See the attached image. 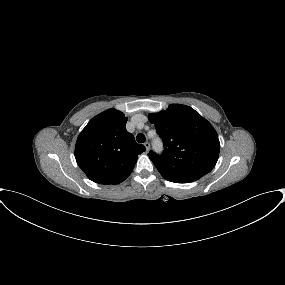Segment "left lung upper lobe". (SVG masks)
<instances>
[{
  "mask_svg": "<svg viewBox=\"0 0 285 285\" xmlns=\"http://www.w3.org/2000/svg\"><path fill=\"white\" fill-rule=\"evenodd\" d=\"M164 142V151L148 154L168 181L193 182L209 173L218 160L220 143L212 125L189 106L171 104L149 115Z\"/></svg>",
  "mask_w": 285,
  "mask_h": 285,
  "instance_id": "5c2ea615",
  "label": "left lung upper lobe"
}]
</instances>
